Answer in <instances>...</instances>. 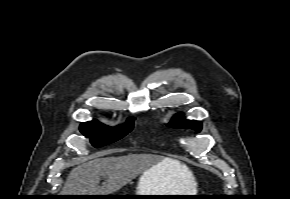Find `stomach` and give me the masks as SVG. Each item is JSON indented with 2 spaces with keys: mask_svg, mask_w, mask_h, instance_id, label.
Wrapping results in <instances>:
<instances>
[{
  "mask_svg": "<svg viewBox=\"0 0 290 199\" xmlns=\"http://www.w3.org/2000/svg\"><path fill=\"white\" fill-rule=\"evenodd\" d=\"M158 166H152L139 178L135 195H175L169 190L168 178L159 177ZM139 198H144L140 196ZM152 199H184L180 197H150Z\"/></svg>",
  "mask_w": 290,
  "mask_h": 199,
  "instance_id": "obj_1",
  "label": "stomach"
}]
</instances>
